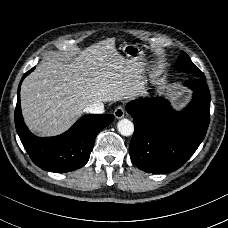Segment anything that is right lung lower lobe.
Segmentation results:
<instances>
[{
	"instance_id": "right-lung-lower-lobe-1",
	"label": "right lung lower lobe",
	"mask_w": 228,
	"mask_h": 228,
	"mask_svg": "<svg viewBox=\"0 0 228 228\" xmlns=\"http://www.w3.org/2000/svg\"><path fill=\"white\" fill-rule=\"evenodd\" d=\"M24 74L22 80L33 70ZM15 109V125L21 142L32 161L46 171L66 173L83 167L89 160L97 134L114 119L112 114L81 117L67 132L40 138L26 127L20 106V85Z\"/></svg>"
}]
</instances>
